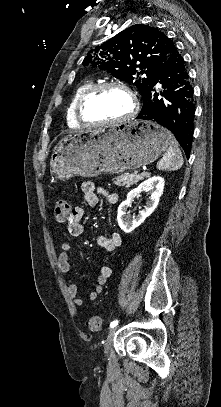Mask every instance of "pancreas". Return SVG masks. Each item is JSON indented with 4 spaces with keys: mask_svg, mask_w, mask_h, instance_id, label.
Wrapping results in <instances>:
<instances>
[{
    "mask_svg": "<svg viewBox=\"0 0 221 407\" xmlns=\"http://www.w3.org/2000/svg\"><path fill=\"white\" fill-rule=\"evenodd\" d=\"M144 176H147V174L135 175V174L125 173V174L118 176L117 178H115L113 180H114L115 185L120 186V187L129 188L131 185L136 184L139 180H142Z\"/></svg>",
    "mask_w": 221,
    "mask_h": 407,
    "instance_id": "cf45deb5",
    "label": "pancreas"
}]
</instances>
